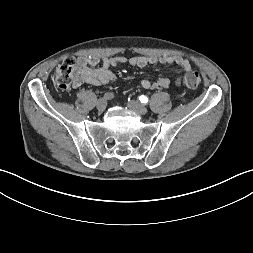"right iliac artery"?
<instances>
[{"instance_id":"82829eb1","label":"right iliac artery","mask_w":253,"mask_h":253,"mask_svg":"<svg viewBox=\"0 0 253 253\" xmlns=\"http://www.w3.org/2000/svg\"><path fill=\"white\" fill-rule=\"evenodd\" d=\"M104 98H105L106 100H111V99L114 98V93H112V92H107V93L104 94Z\"/></svg>"}]
</instances>
